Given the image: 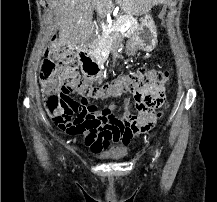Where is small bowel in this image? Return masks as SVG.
Instances as JSON below:
<instances>
[{
  "label": "small bowel",
  "instance_id": "c3829d8e",
  "mask_svg": "<svg viewBox=\"0 0 217 202\" xmlns=\"http://www.w3.org/2000/svg\"><path fill=\"white\" fill-rule=\"evenodd\" d=\"M66 79L72 80V84L76 86V88H84V90H93L90 98L96 100H104L108 98H119L122 97L126 91L115 85L113 82L107 85H88L81 84V82L76 79L74 74L68 75L66 74ZM125 114H129L130 116H153L154 114H144V110H138L137 114H132L130 112L133 104L130 100L125 101ZM155 113V111H154ZM141 122V121H140ZM106 131H84V136L87 141H112L116 144H121L123 146H129L133 143L137 133L133 131H124L121 134H112V131L109 127L105 128ZM85 147H111V142H85ZM102 151V150H101ZM99 152V151H97Z\"/></svg>",
  "mask_w": 217,
  "mask_h": 202
}]
</instances>
